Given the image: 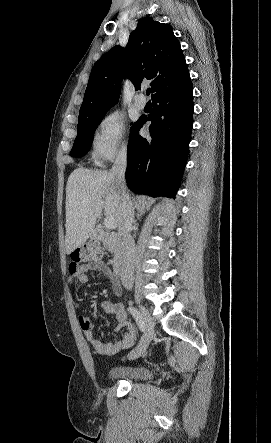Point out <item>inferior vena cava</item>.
I'll list each match as a JSON object with an SVG mask.
<instances>
[{
  "label": "inferior vena cava",
  "instance_id": "inferior-vena-cava-1",
  "mask_svg": "<svg viewBox=\"0 0 271 443\" xmlns=\"http://www.w3.org/2000/svg\"><path fill=\"white\" fill-rule=\"evenodd\" d=\"M127 166V150L124 146L110 170L112 178L118 192H120V206L122 210L121 220L118 225V231L122 235L119 249L115 255L114 269L120 275V279L125 289H130L134 285V267H135V241L130 235L132 223L134 222L133 202L127 192L125 184V172Z\"/></svg>",
  "mask_w": 271,
  "mask_h": 443
}]
</instances>
